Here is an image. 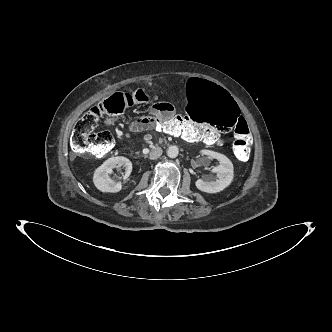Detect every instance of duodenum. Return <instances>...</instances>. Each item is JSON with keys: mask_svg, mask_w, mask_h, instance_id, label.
Listing matches in <instances>:
<instances>
[{"mask_svg": "<svg viewBox=\"0 0 332 332\" xmlns=\"http://www.w3.org/2000/svg\"><path fill=\"white\" fill-rule=\"evenodd\" d=\"M155 121H156V120H155V119H153V120H152V123L154 124V123H155ZM185 137H186V139H187V140H190V138H189V134H186V135H185Z\"/></svg>", "mask_w": 332, "mask_h": 332, "instance_id": "1", "label": "duodenum"}]
</instances>
